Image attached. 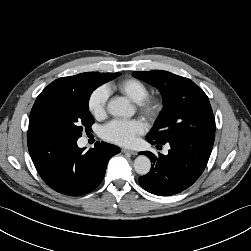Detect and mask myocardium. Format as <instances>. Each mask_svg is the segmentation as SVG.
<instances>
[{"instance_id": "myocardium-1", "label": "myocardium", "mask_w": 251, "mask_h": 251, "mask_svg": "<svg viewBox=\"0 0 251 251\" xmlns=\"http://www.w3.org/2000/svg\"><path fill=\"white\" fill-rule=\"evenodd\" d=\"M163 101L158 97L147 96L137 103L138 111L148 120H156L163 111Z\"/></svg>"}]
</instances>
